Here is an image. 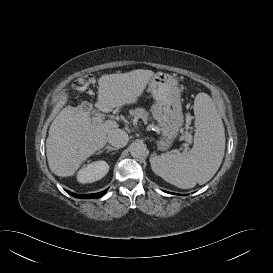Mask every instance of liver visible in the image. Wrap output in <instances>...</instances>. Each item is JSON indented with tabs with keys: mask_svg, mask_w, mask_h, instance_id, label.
<instances>
[{
	"mask_svg": "<svg viewBox=\"0 0 273 273\" xmlns=\"http://www.w3.org/2000/svg\"><path fill=\"white\" fill-rule=\"evenodd\" d=\"M151 70L103 75L98 80V104L111 110L136 103L154 76ZM115 121L97 122L82 105L66 106L49 128L46 152L50 170L57 176H73L82 163L107 142L108 133L117 129Z\"/></svg>",
	"mask_w": 273,
	"mask_h": 273,
	"instance_id": "liver-1",
	"label": "liver"
}]
</instances>
